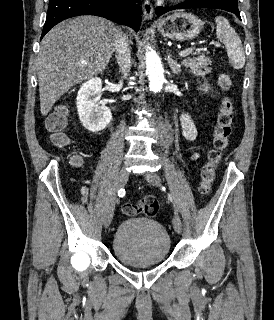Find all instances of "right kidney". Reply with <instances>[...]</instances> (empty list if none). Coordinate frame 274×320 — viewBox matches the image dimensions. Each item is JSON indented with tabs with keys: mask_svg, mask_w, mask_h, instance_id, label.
Segmentation results:
<instances>
[{
	"mask_svg": "<svg viewBox=\"0 0 274 320\" xmlns=\"http://www.w3.org/2000/svg\"><path fill=\"white\" fill-rule=\"evenodd\" d=\"M102 92L101 78H92L82 84L76 98L79 120L89 132H101L112 120L110 108L100 106Z\"/></svg>",
	"mask_w": 274,
	"mask_h": 320,
	"instance_id": "ca27d5eb",
	"label": "right kidney"
}]
</instances>
